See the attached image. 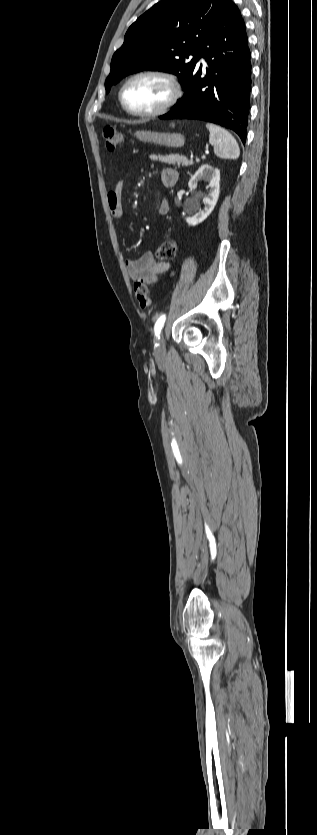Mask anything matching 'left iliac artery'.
<instances>
[{
	"label": "left iliac artery",
	"mask_w": 317,
	"mask_h": 835,
	"mask_svg": "<svg viewBox=\"0 0 317 835\" xmlns=\"http://www.w3.org/2000/svg\"><path fill=\"white\" fill-rule=\"evenodd\" d=\"M165 320H166V315L163 314L157 319V321L155 323L154 331H155V336L158 339L160 338V333H161V330L164 326Z\"/></svg>",
	"instance_id": "obj_1"
}]
</instances>
